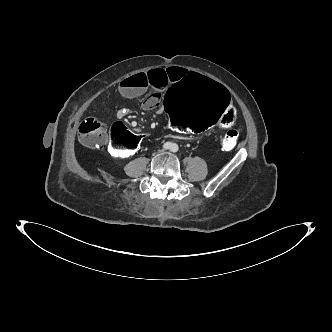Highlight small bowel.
Here are the masks:
<instances>
[{"mask_svg": "<svg viewBox=\"0 0 332 332\" xmlns=\"http://www.w3.org/2000/svg\"><path fill=\"white\" fill-rule=\"evenodd\" d=\"M187 75H189V71L181 67L151 69L123 79L118 85V92L122 97L132 99L151 90L152 95L145 99L142 106L145 110H153L157 108L162 94ZM125 115L126 110L124 109L117 112V117L120 119ZM170 127L177 130L171 124Z\"/></svg>", "mask_w": 332, "mask_h": 332, "instance_id": "c3829d8e", "label": "small bowel"}]
</instances>
